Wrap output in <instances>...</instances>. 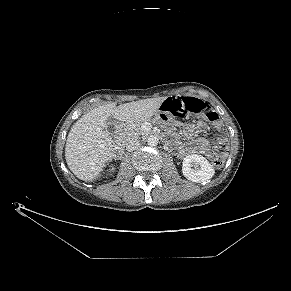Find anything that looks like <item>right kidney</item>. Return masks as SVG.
Masks as SVG:
<instances>
[{
    "label": "right kidney",
    "instance_id": "1",
    "mask_svg": "<svg viewBox=\"0 0 291 291\" xmlns=\"http://www.w3.org/2000/svg\"><path fill=\"white\" fill-rule=\"evenodd\" d=\"M114 170H115V168H114V167H112V168L110 169V171H111V172H113Z\"/></svg>",
    "mask_w": 291,
    "mask_h": 291
}]
</instances>
